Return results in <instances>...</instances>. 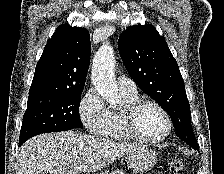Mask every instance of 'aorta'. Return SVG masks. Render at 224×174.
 <instances>
[{"instance_id":"1","label":"aorta","mask_w":224,"mask_h":174,"mask_svg":"<svg viewBox=\"0 0 224 174\" xmlns=\"http://www.w3.org/2000/svg\"><path fill=\"white\" fill-rule=\"evenodd\" d=\"M114 67V51L109 45L103 44L93 60L91 81L101 97L112 106L121 101L118 87L115 84Z\"/></svg>"}]
</instances>
